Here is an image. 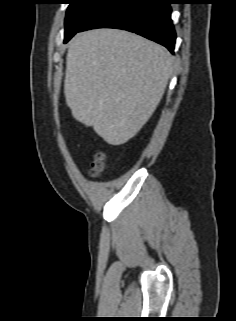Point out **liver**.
I'll list each match as a JSON object with an SVG mask.
<instances>
[{
	"mask_svg": "<svg viewBox=\"0 0 236 321\" xmlns=\"http://www.w3.org/2000/svg\"><path fill=\"white\" fill-rule=\"evenodd\" d=\"M173 69L174 57L153 41L118 29L86 31L68 48L66 103L105 142L122 145L152 116Z\"/></svg>",
	"mask_w": 236,
	"mask_h": 321,
	"instance_id": "1",
	"label": "liver"
}]
</instances>
